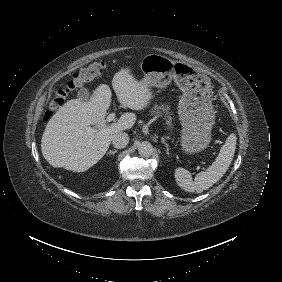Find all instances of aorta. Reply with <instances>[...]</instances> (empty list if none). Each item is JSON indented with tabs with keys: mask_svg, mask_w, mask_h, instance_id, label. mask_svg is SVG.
Here are the masks:
<instances>
[{
	"mask_svg": "<svg viewBox=\"0 0 282 282\" xmlns=\"http://www.w3.org/2000/svg\"><path fill=\"white\" fill-rule=\"evenodd\" d=\"M154 149L151 143L149 142H141L140 145L138 146V153L142 157H149L153 153Z\"/></svg>",
	"mask_w": 282,
	"mask_h": 282,
	"instance_id": "762f6f07",
	"label": "aorta"
}]
</instances>
